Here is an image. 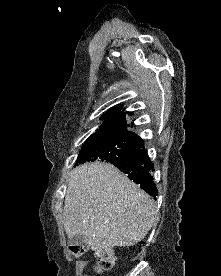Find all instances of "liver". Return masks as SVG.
<instances>
[{"label": "liver", "instance_id": "6515ba94", "mask_svg": "<svg viewBox=\"0 0 221 276\" xmlns=\"http://www.w3.org/2000/svg\"><path fill=\"white\" fill-rule=\"evenodd\" d=\"M156 220V206L116 167L88 163L71 171L63 223L67 236L80 235L95 250L140 242Z\"/></svg>", "mask_w": 221, "mask_h": 276}]
</instances>
